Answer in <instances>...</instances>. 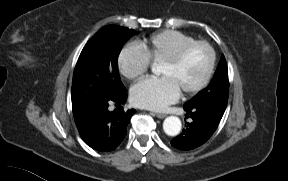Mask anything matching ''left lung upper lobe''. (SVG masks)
<instances>
[{
	"mask_svg": "<svg viewBox=\"0 0 288 181\" xmlns=\"http://www.w3.org/2000/svg\"><path fill=\"white\" fill-rule=\"evenodd\" d=\"M229 80L224 55L211 83L185 104V107H206L217 113L224 114L228 102Z\"/></svg>",
	"mask_w": 288,
	"mask_h": 181,
	"instance_id": "left-lung-upper-lobe-1",
	"label": "left lung upper lobe"
}]
</instances>
